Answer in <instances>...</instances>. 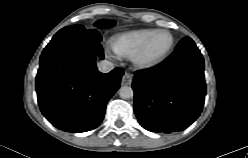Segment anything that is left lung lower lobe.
<instances>
[{"label": "left lung lower lobe", "mask_w": 248, "mask_h": 158, "mask_svg": "<svg viewBox=\"0 0 248 158\" xmlns=\"http://www.w3.org/2000/svg\"><path fill=\"white\" fill-rule=\"evenodd\" d=\"M134 112L142 127L171 133L189 127L200 115L206 94L204 59L189 37L163 63L135 73Z\"/></svg>", "instance_id": "0a47b994"}]
</instances>
